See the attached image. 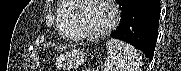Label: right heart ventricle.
<instances>
[{
  "instance_id": "e07e8e85",
  "label": "right heart ventricle",
  "mask_w": 181,
  "mask_h": 71,
  "mask_svg": "<svg viewBox=\"0 0 181 71\" xmlns=\"http://www.w3.org/2000/svg\"><path fill=\"white\" fill-rule=\"evenodd\" d=\"M75 5L68 1H63L59 7V25L58 30L60 34L67 39H75L73 37V30L70 25Z\"/></svg>"
}]
</instances>
